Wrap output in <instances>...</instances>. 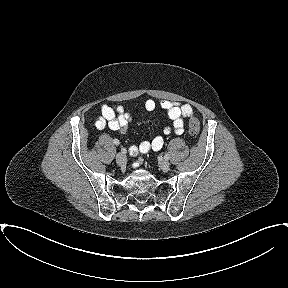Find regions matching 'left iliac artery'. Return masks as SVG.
I'll list each match as a JSON object with an SVG mask.
<instances>
[{
  "label": "left iliac artery",
  "instance_id": "obj_1",
  "mask_svg": "<svg viewBox=\"0 0 288 288\" xmlns=\"http://www.w3.org/2000/svg\"><path fill=\"white\" fill-rule=\"evenodd\" d=\"M164 158H165V159H169V154L166 153V154L164 155Z\"/></svg>",
  "mask_w": 288,
  "mask_h": 288
}]
</instances>
